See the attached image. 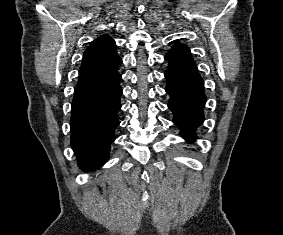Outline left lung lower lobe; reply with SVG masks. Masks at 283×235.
<instances>
[{
  "instance_id": "left-lung-lower-lobe-1",
  "label": "left lung lower lobe",
  "mask_w": 283,
  "mask_h": 235,
  "mask_svg": "<svg viewBox=\"0 0 283 235\" xmlns=\"http://www.w3.org/2000/svg\"><path fill=\"white\" fill-rule=\"evenodd\" d=\"M170 95L169 109L174 114L173 122L181 129L187 141H194L195 130L204 119L206 102L204 82L195 64L170 62L165 72Z\"/></svg>"
}]
</instances>
